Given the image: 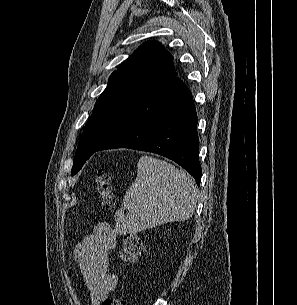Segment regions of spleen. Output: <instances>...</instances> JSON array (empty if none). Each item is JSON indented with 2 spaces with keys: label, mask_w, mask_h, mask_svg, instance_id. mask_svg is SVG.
<instances>
[{
  "label": "spleen",
  "mask_w": 297,
  "mask_h": 305,
  "mask_svg": "<svg viewBox=\"0 0 297 305\" xmlns=\"http://www.w3.org/2000/svg\"><path fill=\"white\" fill-rule=\"evenodd\" d=\"M196 202L197 188L188 174L163 160L142 156L137 177L126 190L122 209L116 213V232L136 233L185 221L192 216Z\"/></svg>",
  "instance_id": "obj_1"
}]
</instances>
